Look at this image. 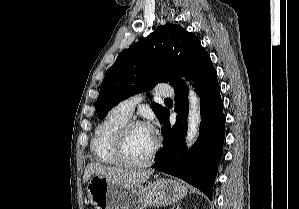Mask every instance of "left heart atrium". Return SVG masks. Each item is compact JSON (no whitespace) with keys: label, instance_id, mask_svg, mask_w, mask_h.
I'll use <instances>...</instances> for the list:
<instances>
[{"label":"left heart atrium","instance_id":"obj_1","mask_svg":"<svg viewBox=\"0 0 299 209\" xmlns=\"http://www.w3.org/2000/svg\"><path fill=\"white\" fill-rule=\"evenodd\" d=\"M145 128L147 129V131L150 133V135L155 138V134H156V125L154 122L148 124L145 126Z\"/></svg>","mask_w":299,"mask_h":209}]
</instances>
